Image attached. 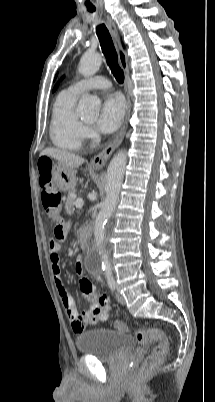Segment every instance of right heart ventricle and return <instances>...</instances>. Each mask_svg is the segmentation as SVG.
I'll use <instances>...</instances> for the list:
<instances>
[{
    "instance_id": "obj_1",
    "label": "right heart ventricle",
    "mask_w": 215,
    "mask_h": 402,
    "mask_svg": "<svg viewBox=\"0 0 215 402\" xmlns=\"http://www.w3.org/2000/svg\"><path fill=\"white\" fill-rule=\"evenodd\" d=\"M77 98L78 94L65 89L54 101L50 138L52 143L60 149L76 151L82 146L84 124L75 112Z\"/></svg>"
}]
</instances>
